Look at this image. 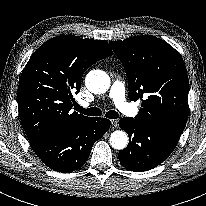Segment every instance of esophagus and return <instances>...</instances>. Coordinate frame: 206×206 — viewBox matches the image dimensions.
<instances>
[{
  "label": "esophagus",
  "mask_w": 206,
  "mask_h": 206,
  "mask_svg": "<svg viewBox=\"0 0 206 206\" xmlns=\"http://www.w3.org/2000/svg\"><path fill=\"white\" fill-rule=\"evenodd\" d=\"M111 123L114 127H116V128L118 127V121L117 120H112Z\"/></svg>",
  "instance_id": "34e87169"
}]
</instances>
